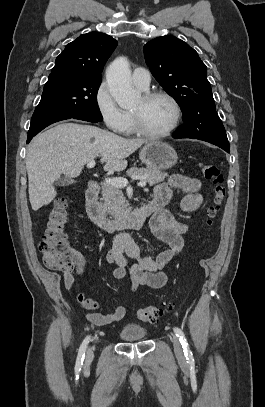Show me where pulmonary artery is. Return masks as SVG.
Wrapping results in <instances>:
<instances>
[{
	"instance_id": "1",
	"label": "pulmonary artery",
	"mask_w": 265,
	"mask_h": 407,
	"mask_svg": "<svg viewBox=\"0 0 265 407\" xmlns=\"http://www.w3.org/2000/svg\"><path fill=\"white\" fill-rule=\"evenodd\" d=\"M132 81L139 89L146 90L151 81L150 72L145 68H135L132 73Z\"/></svg>"
}]
</instances>
